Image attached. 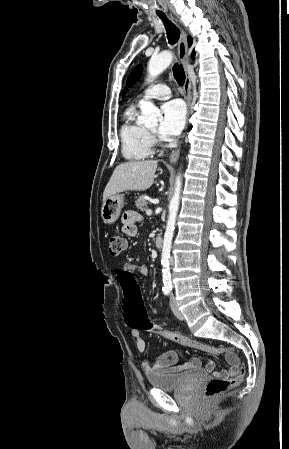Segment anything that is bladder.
Instances as JSON below:
<instances>
[{
    "instance_id": "bladder-1",
    "label": "bladder",
    "mask_w": 289,
    "mask_h": 449,
    "mask_svg": "<svg viewBox=\"0 0 289 449\" xmlns=\"http://www.w3.org/2000/svg\"><path fill=\"white\" fill-rule=\"evenodd\" d=\"M205 376L202 369H194L184 373H159L148 374L149 384L163 391H173L187 386L188 384Z\"/></svg>"
}]
</instances>
